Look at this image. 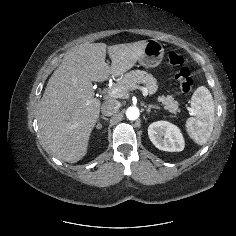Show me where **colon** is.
I'll use <instances>...</instances> for the list:
<instances>
[{
	"mask_svg": "<svg viewBox=\"0 0 236 236\" xmlns=\"http://www.w3.org/2000/svg\"><path fill=\"white\" fill-rule=\"evenodd\" d=\"M168 61L172 66L177 68L175 79L178 81L181 92H191L194 83L190 70L185 66L184 57L179 52L171 51L168 54Z\"/></svg>",
	"mask_w": 236,
	"mask_h": 236,
	"instance_id": "colon-1",
	"label": "colon"
}]
</instances>
